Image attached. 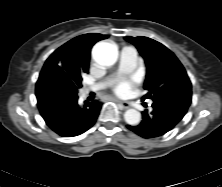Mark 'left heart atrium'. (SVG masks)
<instances>
[{"label": "left heart atrium", "instance_id": "left-heart-atrium-1", "mask_svg": "<svg viewBox=\"0 0 222 187\" xmlns=\"http://www.w3.org/2000/svg\"><path fill=\"white\" fill-rule=\"evenodd\" d=\"M133 85V81L123 80L115 86L114 92L119 96H127L130 94Z\"/></svg>", "mask_w": 222, "mask_h": 187}]
</instances>
